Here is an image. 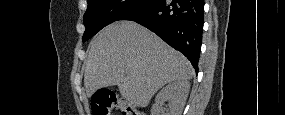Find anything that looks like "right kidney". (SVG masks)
<instances>
[{
  "label": "right kidney",
  "mask_w": 285,
  "mask_h": 115,
  "mask_svg": "<svg viewBox=\"0 0 285 115\" xmlns=\"http://www.w3.org/2000/svg\"><path fill=\"white\" fill-rule=\"evenodd\" d=\"M190 90V83L176 81L165 86L156 96L151 108V115H180ZM169 102L168 110L164 113L163 104Z\"/></svg>",
  "instance_id": "ca27d5eb"
}]
</instances>
